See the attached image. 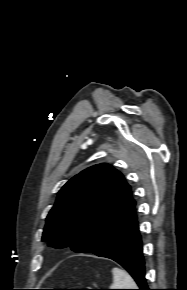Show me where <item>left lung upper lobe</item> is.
Listing matches in <instances>:
<instances>
[{
  "instance_id": "left-lung-upper-lobe-1",
  "label": "left lung upper lobe",
  "mask_w": 187,
  "mask_h": 290,
  "mask_svg": "<svg viewBox=\"0 0 187 290\" xmlns=\"http://www.w3.org/2000/svg\"><path fill=\"white\" fill-rule=\"evenodd\" d=\"M135 201L123 175L102 163L83 170L59 191L42 241L91 253L129 212Z\"/></svg>"
}]
</instances>
